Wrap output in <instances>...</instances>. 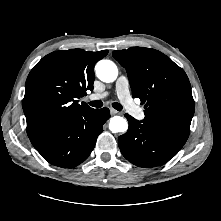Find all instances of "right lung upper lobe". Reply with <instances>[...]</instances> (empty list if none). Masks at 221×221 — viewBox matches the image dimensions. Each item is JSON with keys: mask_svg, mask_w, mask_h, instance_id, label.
Instances as JSON below:
<instances>
[{"mask_svg": "<svg viewBox=\"0 0 221 221\" xmlns=\"http://www.w3.org/2000/svg\"><path fill=\"white\" fill-rule=\"evenodd\" d=\"M108 53L71 49L43 57L26 80L23 111L27 134L50 131L63 126L75 115L91 109L77 98L93 90L94 66Z\"/></svg>", "mask_w": 221, "mask_h": 221, "instance_id": "right-lung-upper-lobe-1", "label": "right lung upper lobe"}]
</instances>
